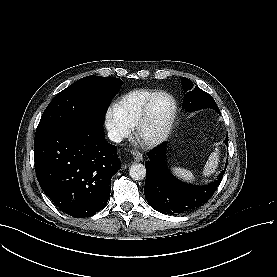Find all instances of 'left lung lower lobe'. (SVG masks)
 Returning a JSON list of instances; mask_svg holds the SVG:
<instances>
[{"instance_id": "0a47b994", "label": "left lung lower lobe", "mask_w": 277, "mask_h": 277, "mask_svg": "<svg viewBox=\"0 0 277 277\" xmlns=\"http://www.w3.org/2000/svg\"><path fill=\"white\" fill-rule=\"evenodd\" d=\"M228 144V136L225 139ZM166 142L148 152L144 194L153 209L165 215L189 212L206 203L220 184L224 169L218 179L206 186H194L176 179L165 162ZM227 166V164H226Z\"/></svg>"}]
</instances>
